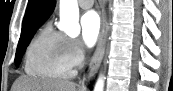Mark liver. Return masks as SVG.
I'll return each mask as SVG.
<instances>
[{
	"label": "liver",
	"mask_w": 173,
	"mask_h": 91,
	"mask_svg": "<svg viewBox=\"0 0 173 91\" xmlns=\"http://www.w3.org/2000/svg\"><path fill=\"white\" fill-rule=\"evenodd\" d=\"M12 91H83L77 90L74 82L54 79H38L26 76L19 77Z\"/></svg>",
	"instance_id": "liver-1"
}]
</instances>
